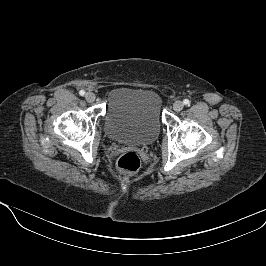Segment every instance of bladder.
<instances>
[{"label": "bladder", "instance_id": "obj_1", "mask_svg": "<svg viewBox=\"0 0 266 266\" xmlns=\"http://www.w3.org/2000/svg\"><path fill=\"white\" fill-rule=\"evenodd\" d=\"M162 125V99L147 88L119 87L107 101L104 129L117 142L149 145L159 136Z\"/></svg>", "mask_w": 266, "mask_h": 266}]
</instances>
